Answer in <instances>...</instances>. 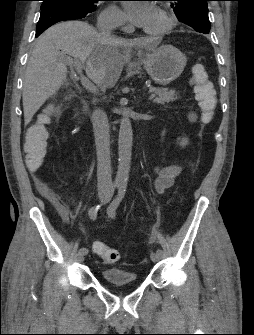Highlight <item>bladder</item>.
Masks as SVG:
<instances>
[{"label":"bladder","instance_id":"bladder-1","mask_svg":"<svg viewBox=\"0 0 254 335\" xmlns=\"http://www.w3.org/2000/svg\"><path fill=\"white\" fill-rule=\"evenodd\" d=\"M105 282L112 287H124L133 285L137 281L136 274L120 267L106 268L102 271Z\"/></svg>","mask_w":254,"mask_h":335}]
</instances>
